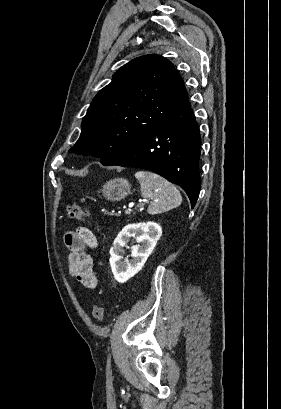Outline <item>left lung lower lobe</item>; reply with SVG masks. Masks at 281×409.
Instances as JSON below:
<instances>
[{"label": "left lung lower lobe", "instance_id": "1", "mask_svg": "<svg viewBox=\"0 0 281 409\" xmlns=\"http://www.w3.org/2000/svg\"><path fill=\"white\" fill-rule=\"evenodd\" d=\"M200 147L199 126L187 100L106 165L138 167L155 172L180 185L194 208L200 192Z\"/></svg>", "mask_w": 281, "mask_h": 409}]
</instances>
